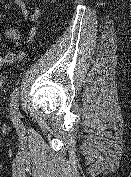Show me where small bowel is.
<instances>
[{"instance_id":"c3829d8e","label":"small bowel","mask_w":131,"mask_h":177,"mask_svg":"<svg viewBox=\"0 0 131 177\" xmlns=\"http://www.w3.org/2000/svg\"><path fill=\"white\" fill-rule=\"evenodd\" d=\"M0 2L5 3V0H0ZM14 3L22 12L29 26L27 39L31 40L34 37L36 32L35 23L40 17V10L39 8L35 7L30 12L28 10L25 0H14ZM4 35L8 40L12 41L16 46H19L21 44V36L15 27L7 28L4 31ZM22 57H23V53L21 51H12V52H6L4 54H0V66H2L5 63H10V62L20 60Z\"/></svg>"}]
</instances>
